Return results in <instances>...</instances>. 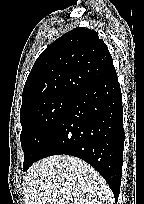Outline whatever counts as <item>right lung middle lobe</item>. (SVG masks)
I'll use <instances>...</instances> for the list:
<instances>
[{
  "label": "right lung middle lobe",
  "mask_w": 144,
  "mask_h": 204,
  "mask_svg": "<svg viewBox=\"0 0 144 204\" xmlns=\"http://www.w3.org/2000/svg\"><path fill=\"white\" fill-rule=\"evenodd\" d=\"M75 96L72 93H60L39 101L20 113L22 125L20 140L24 152L23 171L38 160L44 143Z\"/></svg>",
  "instance_id": "right-lung-middle-lobe-1"
}]
</instances>
